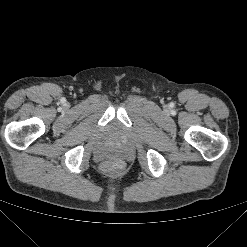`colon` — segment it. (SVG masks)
<instances>
[{
    "mask_svg": "<svg viewBox=\"0 0 247 247\" xmlns=\"http://www.w3.org/2000/svg\"><path fill=\"white\" fill-rule=\"evenodd\" d=\"M106 167H107L108 169L115 170V169H117V168L119 167V163L116 162V161H112V162L107 163V164H106Z\"/></svg>",
    "mask_w": 247,
    "mask_h": 247,
    "instance_id": "5ec220e1",
    "label": "colon"
}]
</instances>
